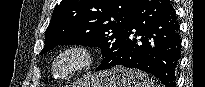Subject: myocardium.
Here are the masks:
<instances>
[{
	"label": "myocardium",
	"instance_id": "1",
	"mask_svg": "<svg viewBox=\"0 0 205 87\" xmlns=\"http://www.w3.org/2000/svg\"><path fill=\"white\" fill-rule=\"evenodd\" d=\"M67 55H73L77 58V63L68 71L58 73L56 65L58 61ZM95 64V55L92 49L83 44H70L59 49L52 57L50 71L54 78L66 80L90 70Z\"/></svg>",
	"mask_w": 205,
	"mask_h": 87
}]
</instances>
